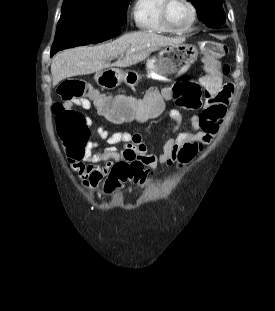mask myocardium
Wrapping results in <instances>:
<instances>
[{"instance_id":"1","label":"myocardium","mask_w":275,"mask_h":311,"mask_svg":"<svg viewBox=\"0 0 275 311\" xmlns=\"http://www.w3.org/2000/svg\"><path fill=\"white\" fill-rule=\"evenodd\" d=\"M174 0H164L162 6H161V19H162V22L164 24V26L171 32V33H186L188 31H190L196 21H197V17H198V12H197V8L196 6L194 5V3L191 1V0H184L188 6L190 7L191 9V13H192V18H191V21L190 23L184 27V28H176L173 26V24L171 23L170 19H169V7L171 5V3L173 2Z\"/></svg>"}]
</instances>
